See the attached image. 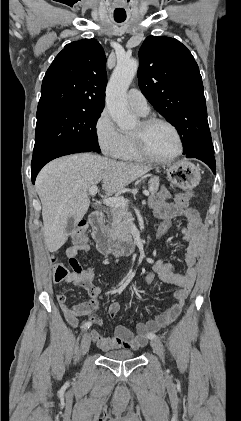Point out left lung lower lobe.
Wrapping results in <instances>:
<instances>
[{
	"label": "left lung lower lobe",
	"instance_id": "1",
	"mask_svg": "<svg viewBox=\"0 0 241 421\" xmlns=\"http://www.w3.org/2000/svg\"><path fill=\"white\" fill-rule=\"evenodd\" d=\"M193 157L203 161L204 163H206L212 169L213 173L215 174V172H216V162H215V158H214V153H201V154L194 155Z\"/></svg>",
	"mask_w": 241,
	"mask_h": 421
}]
</instances>
